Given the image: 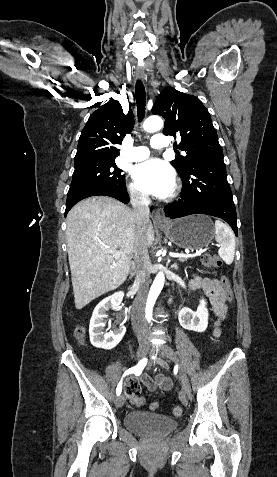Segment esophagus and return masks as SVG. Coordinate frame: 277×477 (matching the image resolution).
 <instances>
[{
	"mask_svg": "<svg viewBox=\"0 0 277 477\" xmlns=\"http://www.w3.org/2000/svg\"><path fill=\"white\" fill-rule=\"evenodd\" d=\"M136 77L140 80H144L145 74L143 71H136ZM153 220H154V223L156 224H160V225L166 224V220L162 216L160 209H156Z\"/></svg>",
	"mask_w": 277,
	"mask_h": 477,
	"instance_id": "esophagus-1",
	"label": "esophagus"
}]
</instances>
